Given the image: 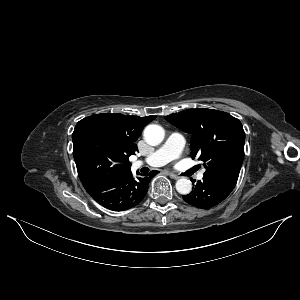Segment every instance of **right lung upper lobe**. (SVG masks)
<instances>
[{"instance_id":"right-lung-upper-lobe-1","label":"right lung upper lobe","mask_w":300,"mask_h":300,"mask_svg":"<svg viewBox=\"0 0 300 300\" xmlns=\"http://www.w3.org/2000/svg\"><path fill=\"white\" fill-rule=\"evenodd\" d=\"M100 125L103 131L109 135L119 146L126 158L135 154L143 127L154 120L156 116H125L123 114L103 113L86 117Z\"/></svg>"}]
</instances>
